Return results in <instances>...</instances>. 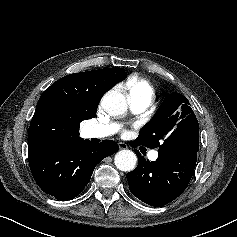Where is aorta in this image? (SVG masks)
I'll use <instances>...</instances> for the list:
<instances>
[{
  "instance_id": "762f6f07",
  "label": "aorta",
  "mask_w": 237,
  "mask_h": 237,
  "mask_svg": "<svg viewBox=\"0 0 237 237\" xmlns=\"http://www.w3.org/2000/svg\"><path fill=\"white\" fill-rule=\"evenodd\" d=\"M101 105L104 111L112 116L123 114L127 111V101L125 96L117 91L106 93ZM114 163L120 171L129 172L136 167L137 156L130 150H121L116 153Z\"/></svg>"
}]
</instances>
